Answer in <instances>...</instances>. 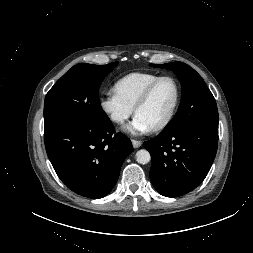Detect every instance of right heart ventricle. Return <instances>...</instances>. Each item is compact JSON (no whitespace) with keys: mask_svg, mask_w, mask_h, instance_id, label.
I'll list each match as a JSON object with an SVG mask.
<instances>
[{"mask_svg":"<svg viewBox=\"0 0 253 253\" xmlns=\"http://www.w3.org/2000/svg\"><path fill=\"white\" fill-rule=\"evenodd\" d=\"M158 77L160 75L152 72H132L115 82L114 91L127 105L134 108L144 90Z\"/></svg>","mask_w":253,"mask_h":253,"instance_id":"obj_1","label":"right heart ventricle"}]
</instances>
